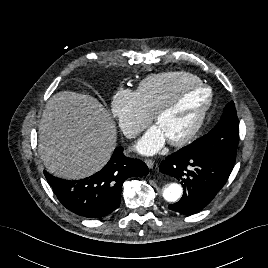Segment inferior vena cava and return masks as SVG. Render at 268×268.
Returning a JSON list of instances; mask_svg holds the SVG:
<instances>
[{
    "mask_svg": "<svg viewBox=\"0 0 268 268\" xmlns=\"http://www.w3.org/2000/svg\"><path fill=\"white\" fill-rule=\"evenodd\" d=\"M135 136V132H133V131H130V132H128V134H127V137L128 138H133Z\"/></svg>",
    "mask_w": 268,
    "mask_h": 268,
    "instance_id": "inferior-vena-cava-1",
    "label": "inferior vena cava"
}]
</instances>
